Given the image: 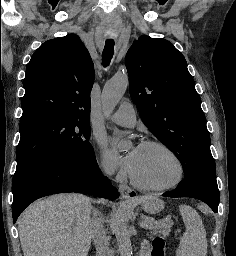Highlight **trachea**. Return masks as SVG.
<instances>
[{"label":"trachea","mask_w":236,"mask_h":256,"mask_svg":"<svg viewBox=\"0 0 236 256\" xmlns=\"http://www.w3.org/2000/svg\"><path fill=\"white\" fill-rule=\"evenodd\" d=\"M114 54V40L107 39L105 42V47L102 53V62L104 67H107Z\"/></svg>","instance_id":"trachea-1"}]
</instances>
